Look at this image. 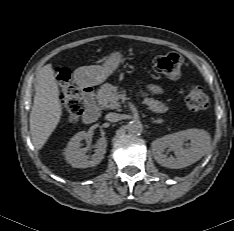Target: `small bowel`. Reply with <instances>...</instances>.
<instances>
[{
	"instance_id": "c3829d8e",
	"label": "small bowel",
	"mask_w": 234,
	"mask_h": 231,
	"mask_svg": "<svg viewBox=\"0 0 234 231\" xmlns=\"http://www.w3.org/2000/svg\"><path fill=\"white\" fill-rule=\"evenodd\" d=\"M149 90L152 92V93H160L161 92V88L157 85H152L149 87Z\"/></svg>"
}]
</instances>
